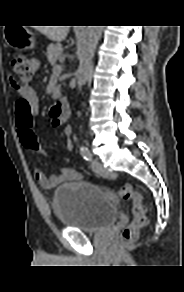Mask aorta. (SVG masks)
<instances>
[{"label":"aorta","instance_id":"1","mask_svg":"<svg viewBox=\"0 0 184 292\" xmlns=\"http://www.w3.org/2000/svg\"><path fill=\"white\" fill-rule=\"evenodd\" d=\"M102 31L103 26H87L84 42L79 55V67L76 73L77 90L79 92L87 81L90 64L101 38Z\"/></svg>","mask_w":184,"mask_h":292}]
</instances>
